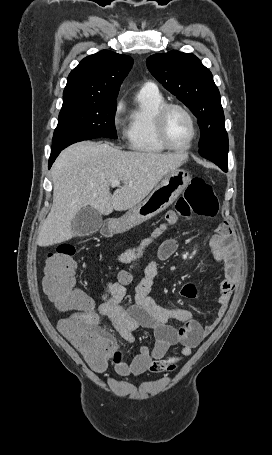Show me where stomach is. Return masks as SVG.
<instances>
[{"label": "stomach", "mask_w": 272, "mask_h": 455, "mask_svg": "<svg viewBox=\"0 0 272 455\" xmlns=\"http://www.w3.org/2000/svg\"><path fill=\"white\" fill-rule=\"evenodd\" d=\"M191 178L184 169L168 172L149 196L121 218L110 222V230L121 234L168 208L183 192Z\"/></svg>", "instance_id": "0dacf381"}]
</instances>
